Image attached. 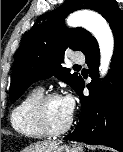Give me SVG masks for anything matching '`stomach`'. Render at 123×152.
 <instances>
[{
	"label": "stomach",
	"mask_w": 123,
	"mask_h": 152,
	"mask_svg": "<svg viewBox=\"0 0 123 152\" xmlns=\"http://www.w3.org/2000/svg\"><path fill=\"white\" fill-rule=\"evenodd\" d=\"M52 152H83V147L80 145H62L59 147H56L52 150Z\"/></svg>",
	"instance_id": "0dacf381"
}]
</instances>
